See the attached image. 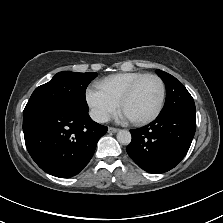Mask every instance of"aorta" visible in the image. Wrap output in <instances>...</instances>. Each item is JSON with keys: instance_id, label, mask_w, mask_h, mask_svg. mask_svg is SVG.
Here are the masks:
<instances>
[{"instance_id": "obj_1", "label": "aorta", "mask_w": 223, "mask_h": 223, "mask_svg": "<svg viewBox=\"0 0 223 223\" xmlns=\"http://www.w3.org/2000/svg\"><path fill=\"white\" fill-rule=\"evenodd\" d=\"M118 142L122 144H129L131 141V134L128 130L121 129L116 134Z\"/></svg>"}]
</instances>
